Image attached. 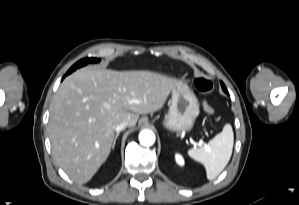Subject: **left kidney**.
Returning <instances> with one entry per match:
<instances>
[{
	"label": "left kidney",
	"instance_id": "5707ae66",
	"mask_svg": "<svg viewBox=\"0 0 299 205\" xmlns=\"http://www.w3.org/2000/svg\"><path fill=\"white\" fill-rule=\"evenodd\" d=\"M175 160H176L177 164L180 166H183L185 163L184 158L178 153L175 155Z\"/></svg>",
	"mask_w": 299,
	"mask_h": 205
}]
</instances>
